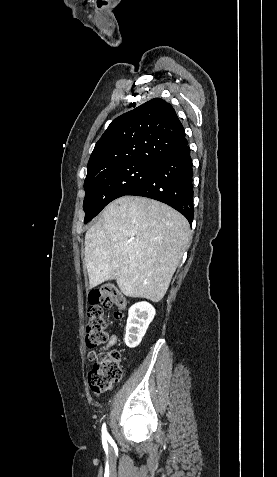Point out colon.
I'll return each instance as SVG.
<instances>
[{
    "mask_svg": "<svg viewBox=\"0 0 277 477\" xmlns=\"http://www.w3.org/2000/svg\"><path fill=\"white\" fill-rule=\"evenodd\" d=\"M86 342L89 347H97L107 340V320L104 309L116 307L115 317L123 316L126 308L125 296L111 283L93 290L88 296ZM122 377V357L118 350L94 361L88 373V383L95 396L108 391Z\"/></svg>",
    "mask_w": 277,
    "mask_h": 477,
    "instance_id": "1",
    "label": "colon"
}]
</instances>
